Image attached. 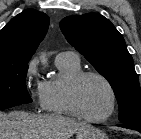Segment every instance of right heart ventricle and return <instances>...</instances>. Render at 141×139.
<instances>
[{
  "mask_svg": "<svg viewBox=\"0 0 141 139\" xmlns=\"http://www.w3.org/2000/svg\"><path fill=\"white\" fill-rule=\"evenodd\" d=\"M59 77L43 82L45 110L57 115L75 116L67 102V85L78 73L82 72L79 60L56 61Z\"/></svg>",
  "mask_w": 141,
  "mask_h": 139,
  "instance_id": "e07e8e85",
  "label": "right heart ventricle"
}]
</instances>
